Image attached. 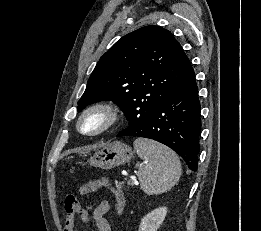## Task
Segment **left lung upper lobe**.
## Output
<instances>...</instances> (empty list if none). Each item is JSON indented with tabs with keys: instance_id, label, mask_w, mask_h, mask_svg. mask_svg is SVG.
Masks as SVG:
<instances>
[{
	"instance_id": "left-lung-upper-lobe-1",
	"label": "left lung upper lobe",
	"mask_w": 261,
	"mask_h": 231,
	"mask_svg": "<svg viewBox=\"0 0 261 231\" xmlns=\"http://www.w3.org/2000/svg\"><path fill=\"white\" fill-rule=\"evenodd\" d=\"M193 74L172 33L145 26L122 37L100 58L78 111L93 102L112 100L123 110L129 126L143 124Z\"/></svg>"
}]
</instances>
